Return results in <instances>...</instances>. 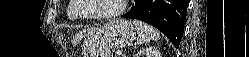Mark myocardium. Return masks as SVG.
Returning <instances> with one entry per match:
<instances>
[{"instance_id": "obj_1", "label": "myocardium", "mask_w": 249, "mask_h": 57, "mask_svg": "<svg viewBox=\"0 0 249 57\" xmlns=\"http://www.w3.org/2000/svg\"><path fill=\"white\" fill-rule=\"evenodd\" d=\"M128 0H121L120 7L112 12L104 13V14H86L83 12V9L85 7V1L84 0H74V11L75 14L81 18V19H87V20H108L115 18L119 15H121L126 7H127Z\"/></svg>"}]
</instances>
